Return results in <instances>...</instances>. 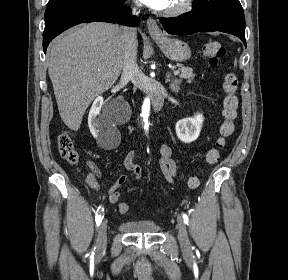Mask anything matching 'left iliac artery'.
<instances>
[{
	"label": "left iliac artery",
	"mask_w": 288,
	"mask_h": 280,
	"mask_svg": "<svg viewBox=\"0 0 288 280\" xmlns=\"http://www.w3.org/2000/svg\"><path fill=\"white\" fill-rule=\"evenodd\" d=\"M179 210H180L179 212L182 214V217H183L185 224L188 225V222H189L188 215L186 213H184V211H183L184 209L182 207Z\"/></svg>",
	"instance_id": "left-iliac-artery-1"
}]
</instances>
